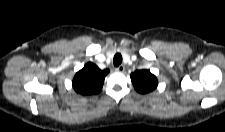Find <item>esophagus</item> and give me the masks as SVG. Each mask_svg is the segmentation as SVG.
Listing matches in <instances>:
<instances>
[{"label": "esophagus", "instance_id": "obj_1", "mask_svg": "<svg viewBox=\"0 0 225 132\" xmlns=\"http://www.w3.org/2000/svg\"><path fill=\"white\" fill-rule=\"evenodd\" d=\"M117 72H124L125 71V66L124 65H120L116 68Z\"/></svg>", "mask_w": 225, "mask_h": 132}]
</instances>
